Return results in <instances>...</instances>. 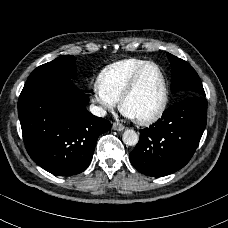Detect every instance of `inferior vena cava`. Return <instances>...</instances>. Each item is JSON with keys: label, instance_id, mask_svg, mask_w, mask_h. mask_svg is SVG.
I'll return each instance as SVG.
<instances>
[{"label": "inferior vena cava", "instance_id": "obj_1", "mask_svg": "<svg viewBox=\"0 0 228 228\" xmlns=\"http://www.w3.org/2000/svg\"><path fill=\"white\" fill-rule=\"evenodd\" d=\"M90 112L95 115V116H98V117H104L106 115V110H104L103 108L101 107H98L94 104H91L90 105Z\"/></svg>", "mask_w": 228, "mask_h": 228}]
</instances>
